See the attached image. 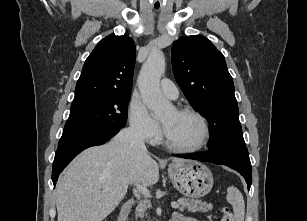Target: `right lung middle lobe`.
Returning a JSON list of instances; mask_svg holds the SVG:
<instances>
[{
    "mask_svg": "<svg viewBox=\"0 0 307 221\" xmlns=\"http://www.w3.org/2000/svg\"><path fill=\"white\" fill-rule=\"evenodd\" d=\"M130 96L131 93H112L72 102L58 146L123 128Z\"/></svg>",
    "mask_w": 307,
    "mask_h": 221,
    "instance_id": "obj_1",
    "label": "right lung middle lobe"
}]
</instances>
